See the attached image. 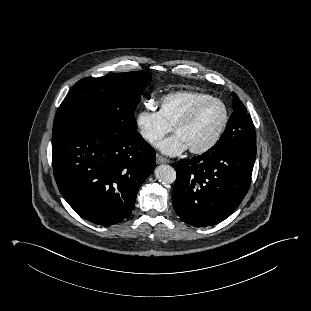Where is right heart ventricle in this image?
Segmentation results:
<instances>
[{"label":"right heart ventricle","mask_w":311,"mask_h":311,"mask_svg":"<svg viewBox=\"0 0 311 311\" xmlns=\"http://www.w3.org/2000/svg\"><path fill=\"white\" fill-rule=\"evenodd\" d=\"M207 97L210 95L195 91L167 94L159 101L160 115L170 127H173L192 105Z\"/></svg>","instance_id":"right-heart-ventricle-1"}]
</instances>
